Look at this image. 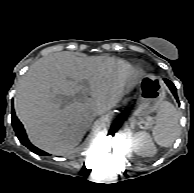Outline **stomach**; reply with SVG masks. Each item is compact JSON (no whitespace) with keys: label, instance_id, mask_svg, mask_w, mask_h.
Listing matches in <instances>:
<instances>
[{"label":"stomach","instance_id":"obj_1","mask_svg":"<svg viewBox=\"0 0 194 193\" xmlns=\"http://www.w3.org/2000/svg\"><path fill=\"white\" fill-rule=\"evenodd\" d=\"M165 98L162 80L154 76H146L138 82V103L136 114L147 116L157 110Z\"/></svg>","mask_w":194,"mask_h":193}]
</instances>
